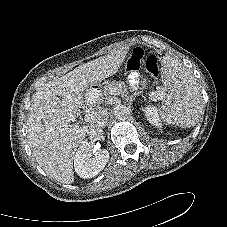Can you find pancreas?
Returning <instances> with one entry per match:
<instances>
[{
  "label": "pancreas",
  "instance_id": "pancreas-1",
  "mask_svg": "<svg viewBox=\"0 0 227 227\" xmlns=\"http://www.w3.org/2000/svg\"><path fill=\"white\" fill-rule=\"evenodd\" d=\"M113 89H116V95H124L128 92L124 82L112 81L107 82V84L103 87V90L91 89L88 90V93H94V95L98 97L96 101H100L102 100L103 96H108L109 94H111V90Z\"/></svg>",
  "mask_w": 227,
  "mask_h": 227
}]
</instances>
